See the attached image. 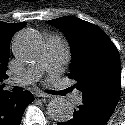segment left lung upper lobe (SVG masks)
I'll return each mask as SVG.
<instances>
[{
    "mask_svg": "<svg viewBox=\"0 0 125 125\" xmlns=\"http://www.w3.org/2000/svg\"><path fill=\"white\" fill-rule=\"evenodd\" d=\"M66 33L73 59L68 76L77 81L83 104L115 109L121 92L117 48L98 26L73 16L50 20Z\"/></svg>",
    "mask_w": 125,
    "mask_h": 125,
    "instance_id": "1",
    "label": "left lung upper lobe"
}]
</instances>
